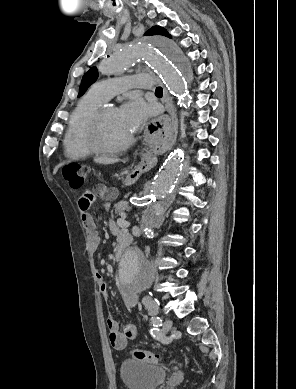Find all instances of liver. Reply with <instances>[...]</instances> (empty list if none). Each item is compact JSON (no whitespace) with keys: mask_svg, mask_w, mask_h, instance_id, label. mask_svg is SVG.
Listing matches in <instances>:
<instances>
[{"mask_svg":"<svg viewBox=\"0 0 296 389\" xmlns=\"http://www.w3.org/2000/svg\"><path fill=\"white\" fill-rule=\"evenodd\" d=\"M94 161L99 164H114L120 160L117 158H108V157H96Z\"/></svg>","mask_w":296,"mask_h":389,"instance_id":"liver-1","label":"liver"}]
</instances>
